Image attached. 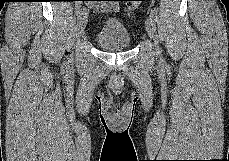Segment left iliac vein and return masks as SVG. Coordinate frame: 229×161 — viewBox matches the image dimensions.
<instances>
[{
	"instance_id": "4c4485c4",
	"label": "left iliac vein",
	"mask_w": 229,
	"mask_h": 161,
	"mask_svg": "<svg viewBox=\"0 0 229 161\" xmlns=\"http://www.w3.org/2000/svg\"><path fill=\"white\" fill-rule=\"evenodd\" d=\"M146 31L150 37V39L153 41L156 53H160V48L158 44V37L156 32V27L154 21L149 17L145 21Z\"/></svg>"
}]
</instances>
